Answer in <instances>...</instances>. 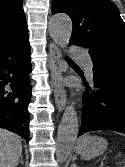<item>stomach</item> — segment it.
I'll return each instance as SVG.
<instances>
[{"label":"stomach","mask_w":125,"mask_h":167,"mask_svg":"<svg viewBox=\"0 0 125 167\" xmlns=\"http://www.w3.org/2000/svg\"><path fill=\"white\" fill-rule=\"evenodd\" d=\"M107 141L101 137L91 136L78 144V153L86 160L95 158L104 153Z\"/></svg>","instance_id":"1"}]
</instances>
